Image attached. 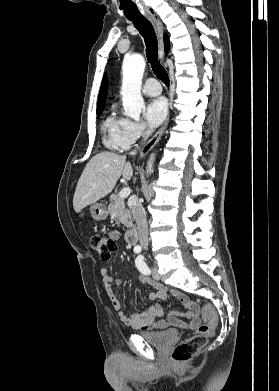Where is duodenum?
<instances>
[{"instance_id": "obj_1", "label": "duodenum", "mask_w": 279, "mask_h": 391, "mask_svg": "<svg viewBox=\"0 0 279 391\" xmlns=\"http://www.w3.org/2000/svg\"><path fill=\"white\" fill-rule=\"evenodd\" d=\"M126 240L130 244H137L139 241V233L136 227L128 230L126 233Z\"/></svg>"}]
</instances>
